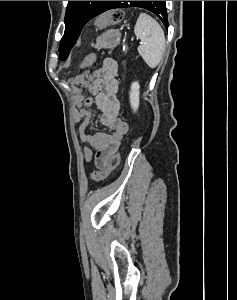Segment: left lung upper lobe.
Returning <instances> with one entry per match:
<instances>
[{
  "label": "left lung upper lobe",
  "mask_w": 237,
  "mask_h": 300,
  "mask_svg": "<svg viewBox=\"0 0 237 300\" xmlns=\"http://www.w3.org/2000/svg\"><path fill=\"white\" fill-rule=\"evenodd\" d=\"M110 1H68L65 14V32L60 41V60L67 59L84 26L104 12ZM165 3V1H163ZM139 7L153 12L168 28L167 9L160 8V1H120V8Z\"/></svg>",
  "instance_id": "obj_1"
}]
</instances>
